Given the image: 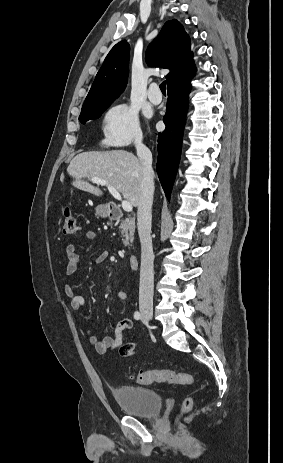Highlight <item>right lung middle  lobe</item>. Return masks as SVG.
Here are the masks:
<instances>
[{"label":"right lung middle lobe","instance_id":"right-lung-middle-lobe-1","mask_svg":"<svg viewBox=\"0 0 283 463\" xmlns=\"http://www.w3.org/2000/svg\"><path fill=\"white\" fill-rule=\"evenodd\" d=\"M114 100L115 98L83 106L79 116L80 122L84 124L88 120L99 118Z\"/></svg>","mask_w":283,"mask_h":463}]
</instances>
